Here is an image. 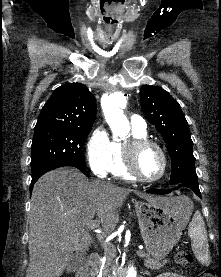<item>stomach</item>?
<instances>
[{
	"label": "stomach",
	"mask_w": 221,
	"mask_h": 277,
	"mask_svg": "<svg viewBox=\"0 0 221 277\" xmlns=\"http://www.w3.org/2000/svg\"><path fill=\"white\" fill-rule=\"evenodd\" d=\"M176 199L166 198L167 204L134 201L144 244L155 260L163 259L178 243L190 218L191 202Z\"/></svg>",
	"instance_id": "1"
}]
</instances>
